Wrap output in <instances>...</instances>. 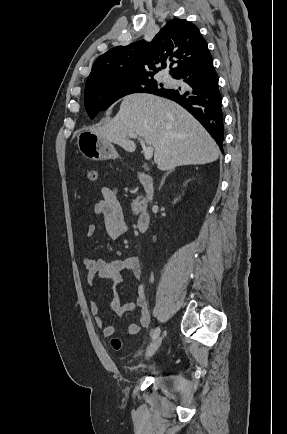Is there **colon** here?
Wrapping results in <instances>:
<instances>
[{
	"mask_svg": "<svg viewBox=\"0 0 287 434\" xmlns=\"http://www.w3.org/2000/svg\"><path fill=\"white\" fill-rule=\"evenodd\" d=\"M86 176L89 181L95 182L100 177V171L97 168H89L86 170ZM111 345L115 350H120L122 347V342L117 338H113L111 339Z\"/></svg>",
	"mask_w": 287,
	"mask_h": 434,
	"instance_id": "obj_1",
	"label": "colon"
}]
</instances>
